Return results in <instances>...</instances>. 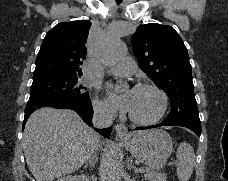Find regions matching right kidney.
Returning <instances> with one entry per match:
<instances>
[{"instance_id": "1", "label": "right kidney", "mask_w": 228, "mask_h": 181, "mask_svg": "<svg viewBox=\"0 0 228 181\" xmlns=\"http://www.w3.org/2000/svg\"><path fill=\"white\" fill-rule=\"evenodd\" d=\"M59 181H88V177H85V175H76V177L69 175V177H62Z\"/></svg>"}]
</instances>
